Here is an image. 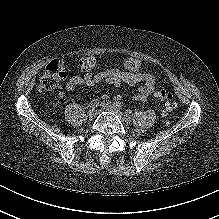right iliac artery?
I'll return each instance as SVG.
<instances>
[{"mask_svg": "<svg viewBox=\"0 0 219 219\" xmlns=\"http://www.w3.org/2000/svg\"><path fill=\"white\" fill-rule=\"evenodd\" d=\"M98 105H99V100H98V99H93V100L89 103V108H90V109H95Z\"/></svg>", "mask_w": 219, "mask_h": 219, "instance_id": "right-iliac-artery-1", "label": "right iliac artery"}]
</instances>
